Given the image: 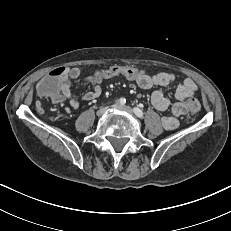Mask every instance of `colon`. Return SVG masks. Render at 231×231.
<instances>
[{
    "mask_svg": "<svg viewBox=\"0 0 231 231\" xmlns=\"http://www.w3.org/2000/svg\"><path fill=\"white\" fill-rule=\"evenodd\" d=\"M63 68H56L46 75V77L41 78L40 82L37 84V94L40 97H49L56 102L61 97V91L57 85V77L61 75ZM156 72L141 71L133 66H111L104 70L96 71L90 78L91 83H98L103 79H108L116 76H124L126 81L132 82L135 78L139 76L150 75L154 76ZM203 103L199 102L197 99H192L187 103V113L195 114L203 110Z\"/></svg>",
    "mask_w": 231,
    "mask_h": 231,
    "instance_id": "1",
    "label": "colon"
}]
</instances>
